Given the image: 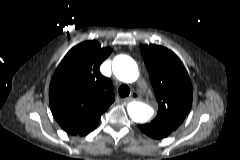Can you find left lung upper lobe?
Returning a JSON list of instances; mask_svg holds the SVG:
<instances>
[{"mask_svg": "<svg viewBox=\"0 0 240 160\" xmlns=\"http://www.w3.org/2000/svg\"><path fill=\"white\" fill-rule=\"evenodd\" d=\"M141 53L158 102V113L150 124L167 134L175 131L190 110L193 90L181 60L169 49L142 45Z\"/></svg>", "mask_w": 240, "mask_h": 160, "instance_id": "left-lung-upper-lobe-1", "label": "left lung upper lobe"}]
</instances>
